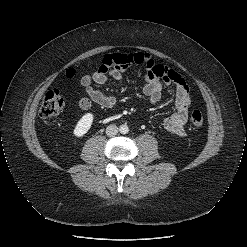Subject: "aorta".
<instances>
[{
  "mask_svg": "<svg viewBox=\"0 0 247 247\" xmlns=\"http://www.w3.org/2000/svg\"><path fill=\"white\" fill-rule=\"evenodd\" d=\"M119 130L122 134H127L129 132V127L126 124H123L120 126Z\"/></svg>",
  "mask_w": 247,
  "mask_h": 247,
  "instance_id": "obj_1",
  "label": "aorta"
}]
</instances>
